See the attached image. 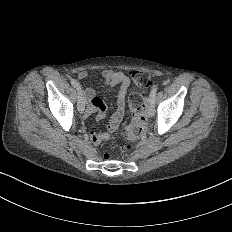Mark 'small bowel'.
I'll use <instances>...</instances> for the list:
<instances>
[{"label": "small bowel", "mask_w": 232, "mask_h": 232, "mask_svg": "<svg viewBox=\"0 0 232 232\" xmlns=\"http://www.w3.org/2000/svg\"><path fill=\"white\" fill-rule=\"evenodd\" d=\"M76 74L80 81H85L88 78V74L85 70H78ZM100 80L105 85L117 84L120 86V92L118 98V110L112 117L111 125L109 127L111 131H115L122 117L124 97L130 85V80L129 77L124 72H114L111 69H103L100 72ZM83 94L89 102L85 114L87 116L95 114L98 118H103L106 115V108L103 105L101 99L97 97L95 89L91 86H88L83 90ZM108 139H109L108 134H93L91 136V140L95 144H100Z\"/></svg>", "instance_id": "obj_1"}]
</instances>
